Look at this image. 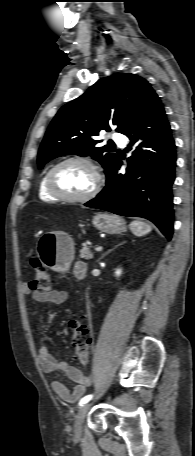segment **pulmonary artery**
I'll use <instances>...</instances> for the list:
<instances>
[{"mask_svg": "<svg viewBox=\"0 0 195 456\" xmlns=\"http://www.w3.org/2000/svg\"><path fill=\"white\" fill-rule=\"evenodd\" d=\"M112 138L116 143H118L120 145H124L126 142L125 137L120 133H114Z\"/></svg>", "mask_w": 195, "mask_h": 456, "instance_id": "obj_1", "label": "pulmonary artery"}]
</instances>
